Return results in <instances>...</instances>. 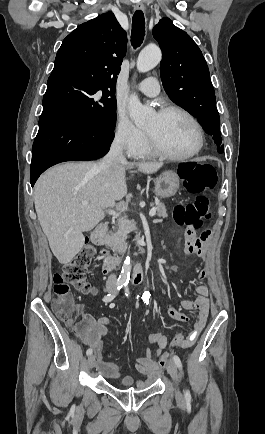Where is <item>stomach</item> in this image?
<instances>
[{"mask_svg":"<svg viewBox=\"0 0 265 434\" xmlns=\"http://www.w3.org/2000/svg\"><path fill=\"white\" fill-rule=\"evenodd\" d=\"M180 178L175 172H163L155 184V194L159 198H171L179 190Z\"/></svg>","mask_w":265,"mask_h":434,"instance_id":"obj_1","label":"stomach"}]
</instances>
